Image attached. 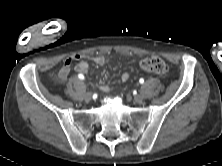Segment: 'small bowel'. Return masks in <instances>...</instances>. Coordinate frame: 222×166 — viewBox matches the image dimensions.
Returning a JSON list of instances; mask_svg holds the SVG:
<instances>
[{
    "mask_svg": "<svg viewBox=\"0 0 222 166\" xmlns=\"http://www.w3.org/2000/svg\"><path fill=\"white\" fill-rule=\"evenodd\" d=\"M94 64L98 65V66H103L108 62V59L103 56V55H97L94 56L92 58H89ZM76 63L75 65V69L77 72H79L80 74H87L89 71V65L88 63L84 60L83 56L80 55H74V56H70L68 57L63 66L60 69V76L61 78H66L67 75L69 74L73 64ZM130 77L129 72H124L121 75V81L122 82H126ZM101 90L103 92H108L109 91V86L108 85H103L101 87Z\"/></svg>",
    "mask_w": 222,
    "mask_h": 166,
    "instance_id": "obj_1",
    "label": "small bowel"
}]
</instances>
